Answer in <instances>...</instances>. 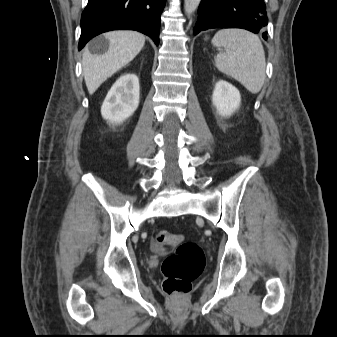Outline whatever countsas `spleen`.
Segmentation results:
<instances>
[{
  "mask_svg": "<svg viewBox=\"0 0 337 337\" xmlns=\"http://www.w3.org/2000/svg\"><path fill=\"white\" fill-rule=\"evenodd\" d=\"M213 46L223 47L215 57L217 69L239 81L257 94L265 81V53L259 37L243 29H222L212 39Z\"/></svg>",
  "mask_w": 337,
  "mask_h": 337,
  "instance_id": "1",
  "label": "spleen"
}]
</instances>
